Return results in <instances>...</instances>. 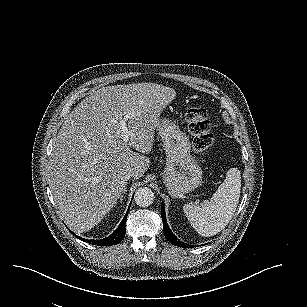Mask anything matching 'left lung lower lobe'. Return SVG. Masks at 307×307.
I'll return each mask as SVG.
<instances>
[{"label":"left lung lower lobe","mask_w":307,"mask_h":307,"mask_svg":"<svg viewBox=\"0 0 307 307\" xmlns=\"http://www.w3.org/2000/svg\"><path fill=\"white\" fill-rule=\"evenodd\" d=\"M161 217H162V221H163L164 235L167 238V240L175 246H179V247H183V248H189L190 247L189 245H187V244L181 242L180 240H178L176 238V236L171 232V230H170V228L167 224L166 215H165V208H164L163 202H162V207H161Z\"/></svg>","instance_id":"obj_1"}]
</instances>
